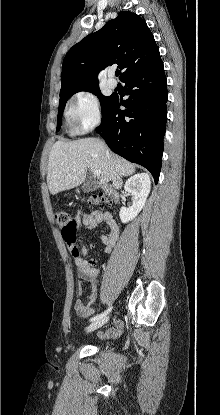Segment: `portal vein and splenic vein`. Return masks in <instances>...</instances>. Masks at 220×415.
Here are the masks:
<instances>
[{
	"instance_id": "obj_1",
	"label": "portal vein and splenic vein",
	"mask_w": 220,
	"mask_h": 415,
	"mask_svg": "<svg viewBox=\"0 0 220 415\" xmlns=\"http://www.w3.org/2000/svg\"><path fill=\"white\" fill-rule=\"evenodd\" d=\"M91 170L93 171L94 175H96V176H100L101 171H99V170H95V169H93V168H91Z\"/></svg>"
}]
</instances>
